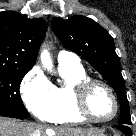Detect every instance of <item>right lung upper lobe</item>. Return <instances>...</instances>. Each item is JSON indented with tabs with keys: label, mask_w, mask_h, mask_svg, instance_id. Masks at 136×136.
Instances as JSON below:
<instances>
[{
	"label": "right lung upper lobe",
	"mask_w": 136,
	"mask_h": 136,
	"mask_svg": "<svg viewBox=\"0 0 136 136\" xmlns=\"http://www.w3.org/2000/svg\"><path fill=\"white\" fill-rule=\"evenodd\" d=\"M46 23L15 11L0 12V69L30 70L45 37Z\"/></svg>",
	"instance_id": "1"
}]
</instances>
